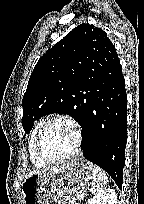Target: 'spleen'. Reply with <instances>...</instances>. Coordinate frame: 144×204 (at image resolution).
I'll return each instance as SVG.
<instances>
[{"label": "spleen", "mask_w": 144, "mask_h": 204, "mask_svg": "<svg viewBox=\"0 0 144 204\" xmlns=\"http://www.w3.org/2000/svg\"><path fill=\"white\" fill-rule=\"evenodd\" d=\"M108 183V177L106 173L96 165L92 166V183H91V193L94 195H99L104 191V187Z\"/></svg>", "instance_id": "1"}]
</instances>
